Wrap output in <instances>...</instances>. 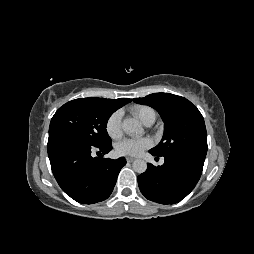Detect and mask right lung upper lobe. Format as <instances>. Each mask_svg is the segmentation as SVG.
Here are the masks:
<instances>
[{
    "label": "right lung upper lobe",
    "mask_w": 254,
    "mask_h": 254,
    "mask_svg": "<svg viewBox=\"0 0 254 254\" xmlns=\"http://www.w3.org/2000/svg\"><path fill=\"white\" fill-rule=\"evenodd\" d=\"M107 101L117 110L121 108L126 103H129L131 99L129 98H120V99H107Z\"/></svg>",
    "instance_id": "right-lung-upper-lobe-1"
}]
</instances>
